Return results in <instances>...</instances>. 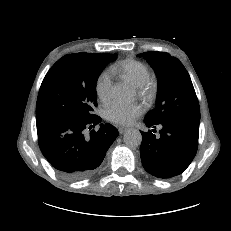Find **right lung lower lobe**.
Listing matches in <instances>:
<instances>
[{
  "instance_id": "obj_1",
  "label": "right lung lower lobe",
  "mask_w": 231,
  "mask_h": 231,
  "mask_svg": "<svg viewBox=\"0 0 231 231\" xmlns=\"http://www.w3.org/2000/svg\"><path fill=\"white\" fill-rule=\"evenodd\" d=\"M101 122L95 116L90 120L64 117L36 119L38 144L44 157L64 178L81 180L92 176L118 136L110 124H101L98 131L87 129Z\"/></svg>"
}]
</instances>
